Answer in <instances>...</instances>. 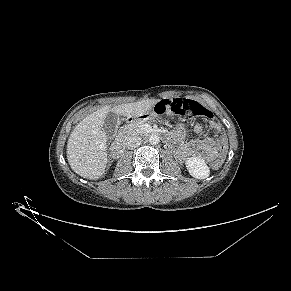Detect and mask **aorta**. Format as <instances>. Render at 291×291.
Returning <instances> with one entry per match:
<instances>
[{"instance_id": "762f6f07", "label": "aorta", "mask_w": 291, "mask_h": 291, "mask_svg": "<svg viewBox=\"0 0 291 291\" xmlns=\"http://www.w3.org/2000/svg\"><path fill=\"white\" fill-rule=\"evenodd\" d=\"M160 142V138L158 135L156 134H152L150 137H149V143L151 145H157L158 143Z\"/></svg>"}]
</instances>
